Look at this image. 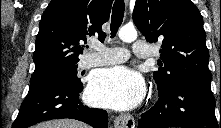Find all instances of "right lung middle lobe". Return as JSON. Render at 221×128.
I'll list each match as a JSON object with an SVG mask.
<instances>
[{
    "mask_svg": "<svg viewBox=\"0 0 221 128\" xmlns=\"http://www.w3.org/2000/svg\"><path fill=\"white\" fill-rule=\"evenodd\" d=\"M60 80L73 83L77 86H83L80 79L77 78V65L61 68L43 75L32 76L30 80V87L51 81Z\"/></svg>",
    "mask_w": 221,
    "mask_h": 128,
    "instance_id": "1",
    "label": "right lung middle lobe"
}]
</instances>
